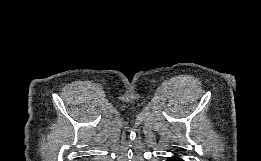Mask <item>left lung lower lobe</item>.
Returning a JSON list of instances; mask_svg holds the SVG:
<instances>
[{"instance_id":"0a47b994","label":"left lung lower lobe","mask_w":261,"mask_h":161,"mask_svg":"<svg viewBox=\"0 0 261 161\" xmlns=\"http://www.w3.org/2000/svg\"><path fill=\"white\" fill-rule=\"evenodd\" d=\"M168 161H183V160L175 156V157L169 158Z\"/></svg>"}]
</instances>
